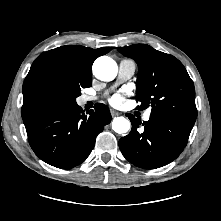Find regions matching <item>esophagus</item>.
I'll list each match as a JSON object with an SVG mask.
<instances>
[{"mask_svg":"<svg viewBox=\"0 0 221 221\" xmlns=\"http://www.w3.org/2000/svg\"><path fill=\"white\" fill-rule=\"evenodd\" d=\"M111 115H112L113 117H115V116L120 115V113H119L118 111L111 110Z\"/></svg>","mask_w":221,"mask_h":221,"instance_id":"esophagus-1","label":"esophagus"}]
</instances>
